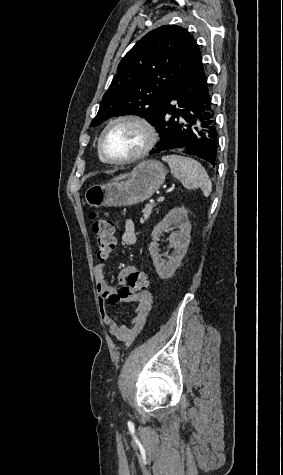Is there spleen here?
I'll return each instance as SVG.
<instances>
[{
  "label": "spleen",
  "instance_id": "1",
  "mask_svg": "<svg viewBox=\"0 0 283 475\" xmlns=\"http://www.w3.org/2000/svg\"><path fill=\"white\" fill-rule=\"evenodd\" d=\"M162 160L167 162L171 174L177 180H181L184 188L187 190L201 188L204 196L208 198L211 194L212 182L199 162L192 158H183V156H164Z\"/></svg>",
  "mask_w": 283,
  "mask_h": 475
}]
</instances>
